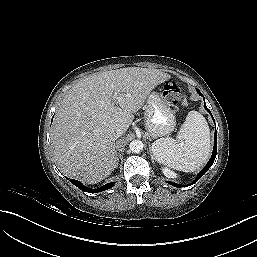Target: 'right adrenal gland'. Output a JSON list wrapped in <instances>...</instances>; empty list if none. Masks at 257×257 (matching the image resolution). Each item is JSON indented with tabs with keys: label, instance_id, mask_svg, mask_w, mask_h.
Listing matches in <instances>:
<instances>
[{
	"label": "right adrenal gland",
	"instance_id": "right-adrenal-gland-1",
	"mask_svg": "<svg viewBox=\"0 0 257 257\" xmlns=\"http://www.w3.org/2000/svg\"><path fill=\"white\" fill-rule=\"evenodd\" d=\"M119 159L117 158V166H118Z\"/></svg>",
	"mask_w": 257,
	"mask_h": 257
}]
</instances>
